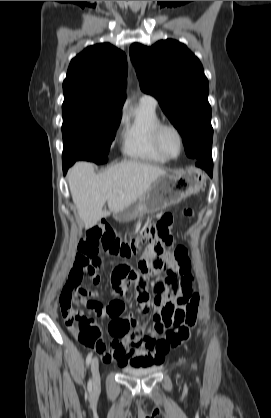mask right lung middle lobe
I'll use <instances>...</instances> for the list:
<instances>
[{
    "mask_svg": "<svg viewBox=\"0 0 271 418\" xmlns=\"http://www.w3.org/2000/svg\"><path fill=\"white\" fill-rule=\"evenodd\" d=\"M63 161H107L121 120V109L98 108L82 103L62 105Z\"/></svg>",
    "mask_w": 271,
    "mask_h": 418,
    "instance_id": "right-lung-middle-lobe-1",
    "label": "right lung middle lobe"
}]
</instances>
